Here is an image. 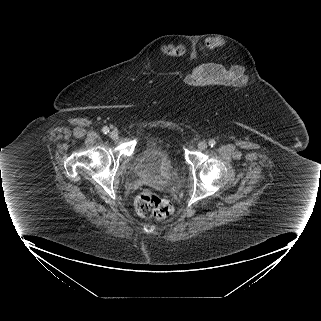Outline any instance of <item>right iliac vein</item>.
<instances>
[{
	"label": "right iliac vein",
	"mask_w": 321,
	"mask_h": 321,
	"mask_svg": "<svg viewBox=\"0 0 321 321\" xmlns=\"http://www.w3.org/2000/svg\"><path fill=\"white\" fill-rule=\"evenodd\" d=\"M109 136L113 139V140H116L118 139V133L116 131H111L109 133Z\"/></svg>",
	"instance_id": "63e3f726"
}]
</instances>
